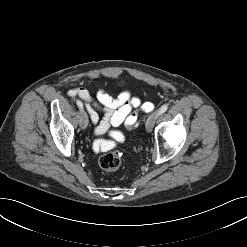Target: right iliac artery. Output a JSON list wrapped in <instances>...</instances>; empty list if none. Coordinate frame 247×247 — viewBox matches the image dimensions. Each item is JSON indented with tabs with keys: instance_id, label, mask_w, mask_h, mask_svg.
I'll list each match as a JSON object with an SVG mask.
<instances>
[{
	"instance_id": "right-iliac-artery-1",
	"label": "right iliac artery",
	"mask_w": 247,
	"mask_h": 247,
	"mask_svg": "<svg viewBox=\"0 0 247 247\" xmlns=\"http://www.w3.org/2000/svg\"><path fill=\"white\" fill-rule=\"evenodd\" d=\"M77 105L81 110L83 109V104L81 101L77 100Z\"/></svg>"
}]
</instances>
